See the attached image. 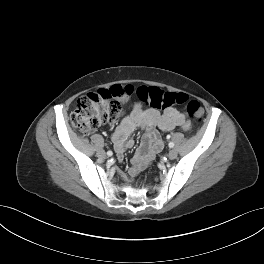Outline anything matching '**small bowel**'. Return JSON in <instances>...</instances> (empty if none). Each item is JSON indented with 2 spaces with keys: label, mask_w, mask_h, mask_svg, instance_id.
<instances>
[{
  "label": "small bowel",
  "mask_w": 264,
  "mask_h": 264,
  "mask_svg": "<svg viewBox=\"0 0 264 264\" xmlns=\"http://www.w3.org/2000/svg\"><path fill=\"white\" fill-rule=\"evenodd\" d=\"M139 127L145 128L146 133L131 159L130 176L136 175L146 167L163 148V142L157 129L170 131L175 127H181L183 130L189 131L191 123L187 120L185 114L176 108L170 107L160 113L154 109L145 110L140 104H135L131 113L122 118L112 136L116 152L121 160L125 150L134 144L129 136Z\"/></svg>",
  "instance_id": "1"
}]
</instances>
